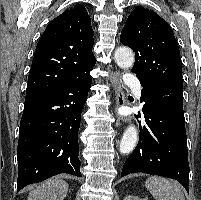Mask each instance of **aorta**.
Segmentation results:
<instances>
[{
	"mask_svg": "<svg viewBox=\"0 0 201 200\" xmlns=\"http://www.w3.org/2000/svg\"><path fill=\"white\" fill-rule=\"evenodd\" d=\"M115 62L120 68L129 69L134 64V54L131 49L120 47L115 51ZM137 141V129L134 125L126 128L120 141V152L122 154L130 153Z\"/></svg>",
	"mask_w": 201,
	"mask_h": 200,
	"instance_id": "762f6f07",
	"label": "aorta"
}]
</instances>
